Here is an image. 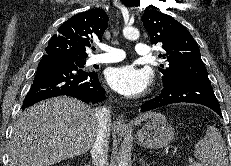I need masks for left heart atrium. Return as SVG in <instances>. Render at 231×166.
Returning <instances> with one entry per match:
<instances>
[{
    "label": "left heart atrium",
    "instance_id": "left-heart-atrium-1",
    "mask_svg": "<svg viewBox=\"0 0 231 166\" xmlns=\"http://www.w3.org/2000/svg\"><path fill=\"white\" fill-rule=\"evenodd\" d=\"M151 79L149 70L138 69L130 64L111 68L107 73L109 86L127 97H136L145 92Z\"/></svg>",
    "mask_w": 231,
    "mask_h": 166
}]
</instances>
